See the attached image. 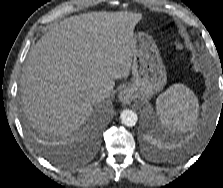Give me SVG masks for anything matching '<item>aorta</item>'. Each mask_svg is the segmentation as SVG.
<instances>
[{
    "instance_id": "aorta-1",
    "label": "aorta",
    "mask_w": 223,
    "mask_h": 188,
    "mask_svg": "<svg viewBox=\"0 0 223 188\" xmlns=\"http://www.w3.org/2000/svg\"><path fill=\"white\" fill-rule=\"evenodd\" d=\"M121 122L127 127H133L136 125L138 117L137 114L129 109H125L120 114Z\"/></svg>"
}]
</instances>
